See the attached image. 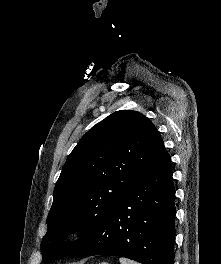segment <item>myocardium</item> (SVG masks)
<instances>
[{
	"instance_id": "f54148a6",
	"label": "myocardium",
	"mask_w": 221,
	"mask_h": 264,
	"mask_svg": "<svg viewBox=\"0 0 221 264\" xmlns=\"http://www.w3.org/2000/svg\"><path fill=\"white\" fill-rule=\"evenodd\" d=\"M84 234V230L80 225H73L67 231V239L71 242L78 241Z\"/></svg>"
}]
</instances>
